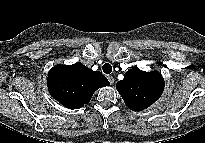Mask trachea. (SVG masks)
Wrapping results in <instances>:
<instances>
[{
	"instance_id": "1",
	"label": "trachea",
	"mask_w": 205,
	"mask_h": 143,
	"mask_svg": "<svg viewBox=\"0 0 205 143\" xmlns=\"http://www.w3.org/2000/svg\"><path fill=\"white\" fill-rule=\"evenodd\" d=\"M102 69H103V72L106 74H110L112 72V66L109 63H105Z\"/></svg>"
}]
</instances>
